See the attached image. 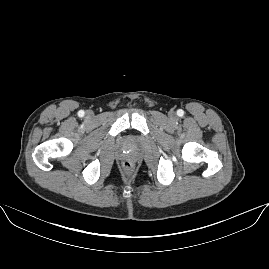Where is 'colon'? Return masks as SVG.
<instances>
[{
    "instance_id": "1",
    "label": "colon",
    "mask_w": 269,
    "mask_h": 269,
    "mask_svg": "<svg viewBox=\"0 0 269 269\" xmlns=\"http://www.w3.org/2000/svg\"><path fill=\"white\" fill-rule=\"evenodd\" d=\"M134 169V166L131 162L129 161H125L123 164H122V170L127 173V174H130Z\"/></svg>"
}]
</instances>
